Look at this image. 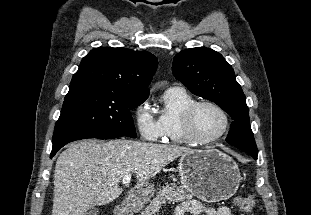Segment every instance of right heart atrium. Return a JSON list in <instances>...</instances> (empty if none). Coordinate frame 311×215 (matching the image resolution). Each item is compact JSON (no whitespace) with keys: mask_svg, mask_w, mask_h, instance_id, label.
Masks as SVG:
<instances>
[{"mask_svg":"<svg viewBox=\"0 0 311 215\" xmlns=\"http://www.w3.org/2000/svg\"><path fill=\"white\" fill-rule=\"evenodd\" d=\"M133 120L140 136L146 141L162 139L163 130L159 118L151 110L147 99L140 101L133 109Z\"/></svg>","mask_w":311,"mask_h":215,"instance_id":"1","label":"right heart atrium"}]
</instances>
